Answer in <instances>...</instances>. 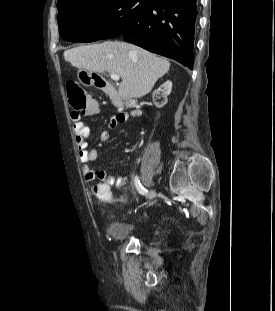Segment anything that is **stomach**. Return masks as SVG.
Segmentation results:
<instances>
[{
    "label": "stomach",
    "mask_w": 275,
    "mask_h": 311,
    "mask_svg": "<svg viewBox=\"0 0 275 311\" xmlns=\"http://www.w3.org/2000/svg\"><path fill=\"white\" fill-rule=\"evenodd\" d=\"M77 77H78V80L80 81V83H82L85 86H93V85H95L90 80V74H89L88 70L79 69V71L77 73Z\"/></svg>",
    "instance_id": "1"
}]
</instances>
